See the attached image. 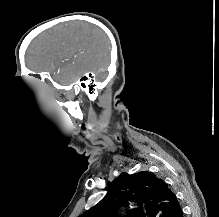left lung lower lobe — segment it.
<instances>
[{
    "label": "left lung lower lobe",
    "mask_w": 219,
    "mask_h": 217,
    "mask_svg": "<svg viewBox=\"0 0 219 217\" xmlns=\"http://www.w3.org/2000/svg\"><path fill=\"white\" fill-rule=\"evenodd\" d=\"M174 217H183V212H182L181 207H180V209L177 211V213L175 214Z\"/></svg>",
    "instance_id": "1"
}]
</instances>
